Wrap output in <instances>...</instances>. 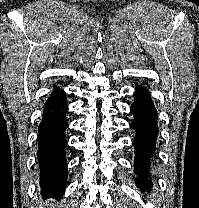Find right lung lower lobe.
Instances as JSON below:
<instances>
[{
	"mask_svg": "<svg viewBox=\"0 0 199 208\" xmlns=\"http://www.w3.org/2000/svg\"><path fill=\"white\" fill-rule=\"evenodd\" d=\"M67 110L66 93L56 88L45 103L38 128L37 155L41 169V194L45 197H61L66 187L67 141L64 132L68 127Z\"/></svg>",
	"mask_w": 199,
	"mask_h": 208,
	"instance_id": "obj_1",
	"label": "right lung lower lobe"
}]
</instances>
